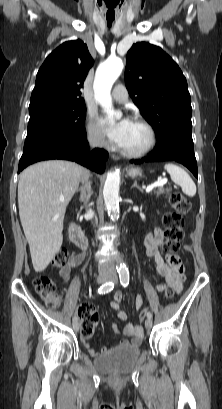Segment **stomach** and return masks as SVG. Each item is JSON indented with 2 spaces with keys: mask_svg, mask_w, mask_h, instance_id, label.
Instances as JSON below:
<instances>
[{
  "mask_svg": "<svg viewBox=\"0 0 222 409\" xmlns=\"http://www.w3.org/2000/svg\"><path fill=\"white\" fill-rule=\"evenodd\" d=\"M128 175L130 177H136L138 175H141V170L139 168H132L128 171Z\"/></svg>",
  "mask_w": 222,
  "mask_h": 409,
  "instance_id": "stomach-1",
  "label": "stomach"
}]
</instances>
